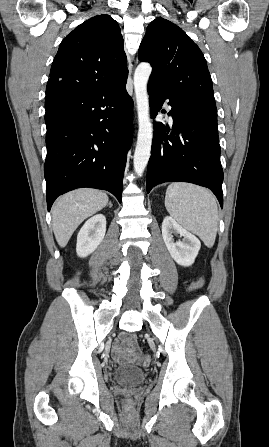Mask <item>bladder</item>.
<instances>
[{
  "label": "bladder",
  "instance_id": "1",
  "mask_svg": "<svg viewBox=\"0 0 269 447\" xmlns=\"http://www.w3.org/2000/svg\"><path fill=\"white\" fill-rule=\"evenodd\" d=\"M146 372L136 366L120 365L113 373V380L119 385L136 386L145 381Z\"/></svg>",
  "mask_w": 269,
  "mask_h": 447
}]
</instances>
